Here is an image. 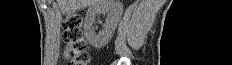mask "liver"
<instances>
[{
    "mask_svg": "<svg viewBox=\"0 0 232 65\" xmlns=\"http://www.w3.org/2000/svg\"><path fill=\"white\" fill-rule=\"evenodd\" d=\"M98 0H59V6L62 12L70 14L71 12L79 11L97 3Z\"/></svg>",
    "mask_w": 232,
    "mask_h": 65,
    "instance_id": "6515ba94",
    "label": "liver"
}]
</instances>
